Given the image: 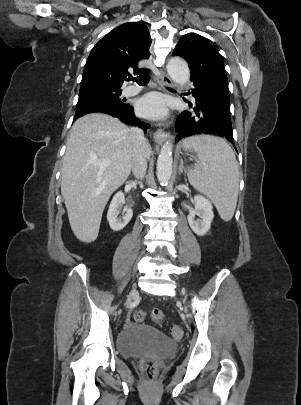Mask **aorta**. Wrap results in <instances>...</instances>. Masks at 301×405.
<instances>
[{"label":"aorta","mask_w":301,"mask_h":405,"mask_svg":"<svg viewBox=\"0 0 301 405\" xmlns=\"http://www.w3.org/2000/svg\"><path fill=\"white\" fill-rule=\"evenodd\" d=\"M167 71L172 80L181 87L189 80L190 71L188 65L179 57H173L168 61ZM172 149V142L167 141L162 146L157 160L156 174L158 181L162 185L168 184L172 174Z\"/></svg>","instance_id":"762f6f07"}]
</instances>
